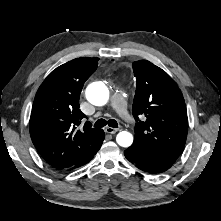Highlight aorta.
Instances as JSON below:
<instances>
[{"mask_svg": "<svg viewBox=\"0 0 221 221\" xmlns=\"http://www.w3.org/2000/svg\"><path fill=\"white\" fill-rule=\"evenodd\" d=\"M86 97L91 104L103 106L109 100V90L102 82H94L87 87ZM116 141L122 147H129L133 143V136L127 131H122L117 134Z\"/></svg>", "mask_w": 221, "mask_h": 221, "instance_id": "aorta-1", "label": "aorta"}]
</instances>
